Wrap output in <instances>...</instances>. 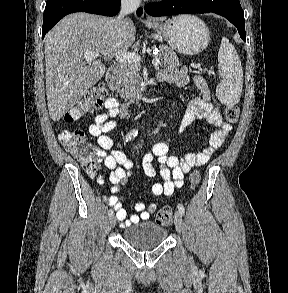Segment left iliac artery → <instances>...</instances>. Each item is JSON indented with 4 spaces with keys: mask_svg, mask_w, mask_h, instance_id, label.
<instances>
[{
    "mask_svg": "<svg viewBox=\"0 0 288 293\" xmlns=\"http://www.w3.org/2000/svg\"><path fill=\"white\" fill-rule=\"evenodd\" d=\"M177 207H178L179 212H180L182 215H184V213H185V208H184V206H183L182 204H178Z\"/></svg>",
    "mask_w": 288,
    "mask_h": 293,
    "instance_id": "44dca946",
    "label": "left iliac artery"
}]
</instances>
